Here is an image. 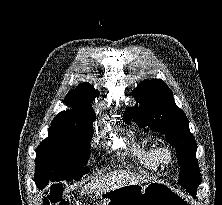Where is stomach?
<instances>
[{
    "label": "stomach",
    "mask_w": 222,
    "mask_h": 205,
    "mask_svg": "<svg viewBox=\"0 0 222 205\" xmlns=\"http://www.w3.org/2000/svg\"><path fill=\"white\" fill-rule=\"evenodd\" d=\"M97 205H193L185 196L160 181L129 184L99 195Z\"/></svg>",
    "instance_id": "0dacf381"
}]
</instances>
